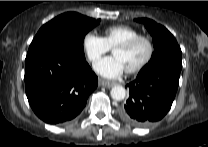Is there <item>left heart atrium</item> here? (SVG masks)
<instances>
[{"instance_id": "left-heart-atrium-1", "label": "left heart atrium", "mask_w": 208, "mask_h": 147, "mask_svg": "<svg viewBox=\"0 0 208 147\" xmlns=\"http://www.w3.org/2000/svg\"><path fill=\"white\" fill-rule=\"evenodd\" d=\"M94 68L98 74L108 79L118 78L126 71L123 62L116 56L101 59Z\"/></svg>"}]
</instances>
